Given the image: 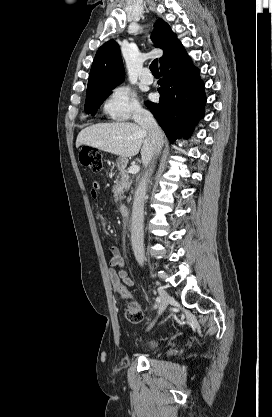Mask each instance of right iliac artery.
<instances>
[{
  "instance_id": "right-iliac-artery-1",
  "label": "right iliac artery",
  "mask_w": 272,
  "mask_h": 417,
  "mask_svg": "<svg viewBox=\"0 0 272 417\" xmlns=\"http://www.w3.org/2000/svg\"><path fill=\"white\" fill-rule=\"evenodd\" d=\"M156 302H160V298L159 297L156 298Z\"/></svg>"
}]
</instances>
